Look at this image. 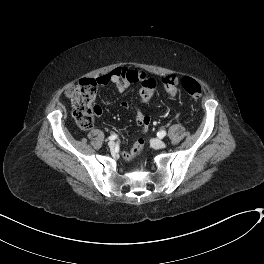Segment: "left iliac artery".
<instances>
[{
  "label": "left iliac artery",
  "instance_id": "1",
  "mask_svg": "<svg viewBox=\"0 0 264 264\" xmlns=\"http://www.w3.org/2000/svg\"><path fill=\"white\" fill-rule=\"evenodd\" d=\"M157 136H158L159 138H163L164 136H166V131H165V130H161V131H159V132L157 133Z\"/></svg>",
  "mask_w": 264,
  "mask_h": 264
}]
</instances>
